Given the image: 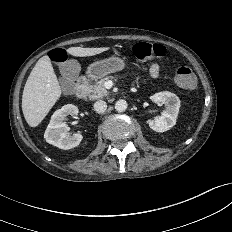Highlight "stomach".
I'll list each match as a JSON object with an SVG mask.
<instances>
[{"instance_id": "1", "label": "stomach", "mask_w": 232, "mask_h": 232, "mask_svg": "<svg viewBox=\"0 0 232 232\" xmlns=\"http://www.w3.org/2000/svg\"><path fill=\"white\" fill-rule=\"evenodd\" d=\"M125 63L122 58L112 56L93 62L87 68V75L92 79H99L108 74L123 70Z\"/></svg>"}]
</instances>
